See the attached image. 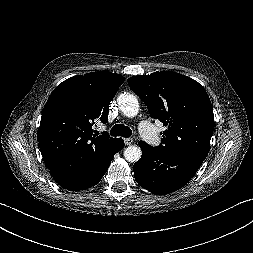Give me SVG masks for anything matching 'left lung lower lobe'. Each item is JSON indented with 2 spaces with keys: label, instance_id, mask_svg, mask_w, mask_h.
<instances>
[{
  "label": "left lung lower lobe",
  "instance_id": "0a47b994",
  "mask_svg": "<svg viewBox=\"0 0 253 253\" xmlns=\"http://www.w3.org/2000/svg\"><path fill=\"white\" fill-rule=\"evenodd\" d=\"M141 158L134 164L136 182L154 194H169L185 186L201 166L203 159L187 157L181 161L164 158L156 147L139 141Z\"/></svg>",
  "mask_w": 253,
  "mask_h": 253
}]
</instances>
